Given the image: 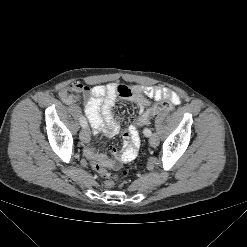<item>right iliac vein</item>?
I'll return each mask as SVG.
<instances>
[{
	"label": "right iliac vein",
	"instance_id": "obj_1",
	"mask_svg": "<svg viewBox=\"0 0 247 247\" xmlns=\"http://www.w3.org/2000/svg\"><path fill=\"white\" fill-rule=\"evenodd\" d=\"M79 137L82 142L87 143L90 141V133L86 127H83V129L80 131Z\"/></svg>",
	"mask_w": 247,
	"mask_h": 247
}]
</instances>
